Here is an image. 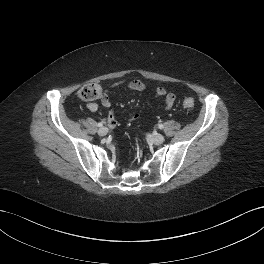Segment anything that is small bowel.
<instances>
[{
  "mask_svg": "<svg viewBox=\"0 0 264 264\" xmlns=\"http://www.w3.org/2000/svg\"><path fill=\"white\" fill-rule=\"evenodd\" d=\"M111 90H119V89H126L131 91H143L146 88V84L144 81L139 79H131V80H123L115 82L111 85ZM154 96L156 98L164 97V107L166 110H169L172 108L175 102V96L172 93H167L165 88L158 87L155 92ZM101 105L103 107H110L111 101L108 97V95H105L101 100ZM97 103H88L87 108L90 111H96L98 109ZM136 117V116H135ZM107 122L109 126H115L116 125V114L114 110H110L107 118Z\"/></svg>",
  "mask_w": 264,
  "mask_h": 264,
  "instance_id": "c3829d8e",
  "label": "small bowel"
}]
</instances>
